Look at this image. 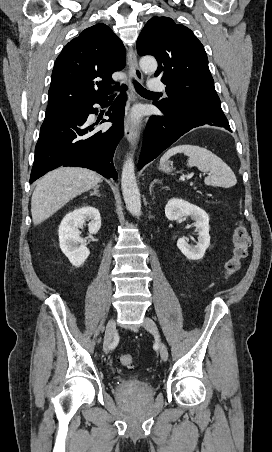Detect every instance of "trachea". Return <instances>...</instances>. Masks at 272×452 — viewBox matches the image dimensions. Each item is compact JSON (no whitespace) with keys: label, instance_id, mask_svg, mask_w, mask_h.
Returning a JSON list of instances; mask_svg holds the SVG:
<instances>
[{"label":"trachea","instance_id":"obj_1","mask_svg":"<svg viewBox=\"0 0 272 452\" xmlns=\"http://www.w3.org/2000/svg\"><path fill=\"white\" fill-rule=\"evenodd\" d=\"M134 86L135 89L137 91V93H139L140 95H154V94H159L156 92H151L147 89H145L143 86H141L139 83H137L136 81H134Z\"/></svg>","mask_w":272,"mask_h":452}]
</instances>
